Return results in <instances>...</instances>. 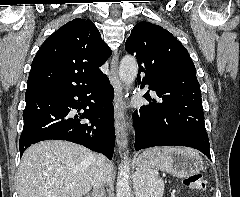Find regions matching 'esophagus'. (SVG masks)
<instances>
[{"label": "esophagus", "mask_w": 240, "mask_h": 197, "mask_svg": "<svg viewBox=\"0 0 240 197\" xmlns=\"http://www.w3.org/2000/svg\"><path fill=\"white\" fill-rule=\"evenodd\" d=\"M119 53L116 52L111 60L110 65V82L114 89V127L116 142L120 149L127 147L126 125L123 116L124 102L122 85L118 75Z\"/></svg>", "instance_id": "1"}]
</instances>
